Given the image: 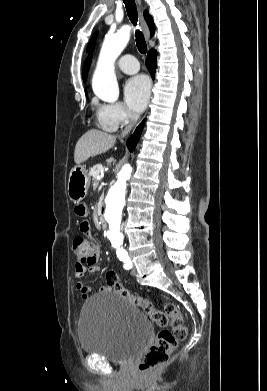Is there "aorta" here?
Here are the masks:
<instances>
[{"label": "aorta", "mask_w": 267, "mask_h": 391, "mask_svg": "<svg viewBox=\"0 0 267 391\" xmlns=\"http://www.w3.org/2000/svg\"><path fill=\"white\" fill-rule=\"evenodd\" d=\"M131 27L122 26L116 33L106 35L101 47L97 67L92 80V88L101 100L113 103L119 97V87L114 72V63L129 42ZM131 167L125 164L117 174L105 199V220L108 224V236L112 245L122 251L123 234L121 232L122 210L125 204L127 180Z\"/></svg>", "instance_id": "1"}]
</instances>
